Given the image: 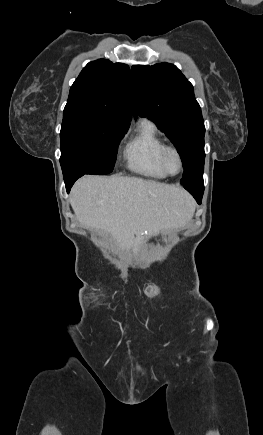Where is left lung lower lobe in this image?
I'll return each instance as SVG.
<instances>
[{
	"instance_id": "obj_1",
	"label": "left lung lower lobe",
	"mask_w": 263,
	"mask_h": 435,
	"mask_svg": "<svg viewBox=\"0 0 263 435\" xmlns=\"http://www.w3.org/2000/svg\"><path fill=\"white\" fill-rule=\"evenodd\" d=\"M183 186L188 192H190L193 195L197 203L201 204L203 191H204L203 180L197 183L187 184Z\"/></svg>"
}]
</instances>
